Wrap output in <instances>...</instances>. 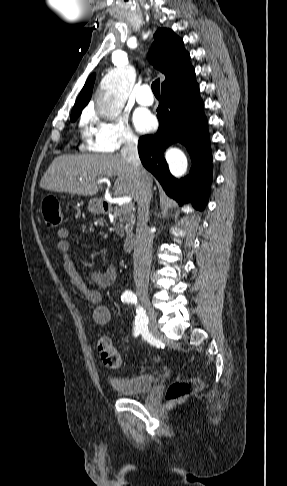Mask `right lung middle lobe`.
<instances>
[{"mask_svg": "<svg viewBox=\"0 0 287 486\" xmlns=\"http://www.w3.org/2000/svg\"><path fill=\"white\" fill-rule=\"evenodd\" d=\"M80 114H81V113H77V114H71V116H70L71 121H72V122H73V121H75V120L78 118V116H79Z\"/></svg>", "mask_w": 287, "mask_h": 486, "instance_id": "right-lung-middle-lobe-1", "label": "right lung middle lobe"}]
</instances>
